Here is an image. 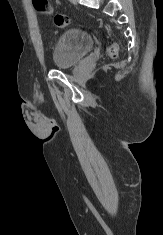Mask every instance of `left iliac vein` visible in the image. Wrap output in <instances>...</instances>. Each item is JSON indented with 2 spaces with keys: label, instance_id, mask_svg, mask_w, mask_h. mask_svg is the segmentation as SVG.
Wrapping results in <instances>:
<instances>
[{
  "label": "left iliac vein",
  "instance_id": "obj_1",
  "mask_svg": "<svg viewBox=\"0 0 163 235\" xmlns=\"http://www.w3.org/2000/svg\"><path fill=\"white\" fill-rule=\"evenodd\" d=\"M72 3H76L77 2V0H70Z\"/></svg>",
  "mask_w": 163,
  "mask_h": 235
}]
</instances>
